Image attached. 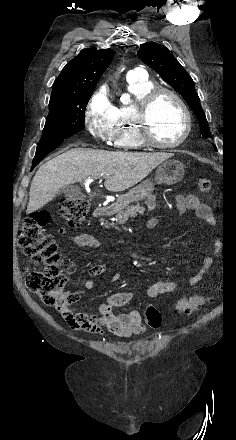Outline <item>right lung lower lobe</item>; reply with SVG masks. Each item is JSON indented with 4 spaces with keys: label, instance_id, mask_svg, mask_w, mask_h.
Here are the masks:
<instances>
[{
    "label": "right lung lower lobe",
    "instance_id": "obj_1",
    "mask_svg": "<svg viewBox=\"0 0 236 440\" xmlns=\"http://www.w3.org/2000/svg\"><path fill=\"white\" fill-rule=\"evenodd\" d=\"M63 140H56V141H50L45 143H38L36 154L33 159L32 169L43 160V158L52 152L54 149H56L60 144H62Z\"/></svg>",
    "mask_w": 236,
    "mask_h": 440
}]
</instances>
